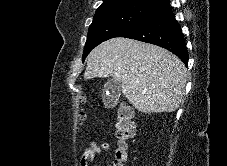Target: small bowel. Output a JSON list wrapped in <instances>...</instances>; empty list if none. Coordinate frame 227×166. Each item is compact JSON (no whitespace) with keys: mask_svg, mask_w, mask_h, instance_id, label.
Segmentation results:
<instances>
[{"mask_svg":"<svg viewBox=\"0 0 227 166\" xmlns=\"http://www.w3.org/2000/svg\"><path fill=\"white\" fill-rule=\"evenodd\" d=\"M111 148L109 142H102L100 144L96 142H90L83 152L80 160V166H88L89 163H95L98 155L103 152H108Z\"/></svg>","mask_w":227,"mask_h":166,"instance_id":"small-bowel-1","label":"small bowel"}]
</instances>
